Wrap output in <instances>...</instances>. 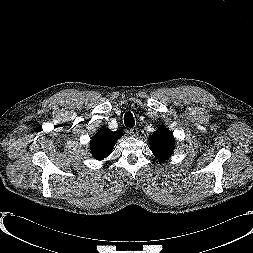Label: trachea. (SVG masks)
I'll use <instances>...</instances> for the list:
<instances>
[{"instance_id": "3493384b", "label": "trachea", "mask_w": 253, "mask_h": 253, "mask_svg": "<svg viewBox=\"0 0 253 253\" xmlns=\"http://www.w3.org/2000/svg\"><path fill=\"white\" fill-rule=\"evenodd\" d=\"M124 124L126 127H133L135 125V120L130 111L126 112L124 115Z\"/></svg>"}]
</instances>
